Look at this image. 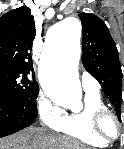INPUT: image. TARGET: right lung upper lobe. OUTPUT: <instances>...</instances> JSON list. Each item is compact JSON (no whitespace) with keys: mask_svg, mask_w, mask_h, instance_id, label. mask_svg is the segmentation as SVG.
<instances>
[{"mask_svg":"<svg viewBox=\"0 0 124 149\" xmlns=\"http://www.w3.org/2000/svg\"><path fill=\"white\" fill-rule=\"evenodd\" d=\"M36 35L31 10L22 6L0 17V66L14 68L35 78L31 48Z\"/></svg>","mask_w":124,"mask_h":149,"instance_id":"obj_1","label":"right lung upper lobe"}]
</instances>
